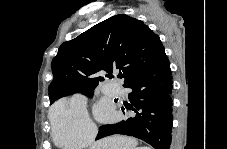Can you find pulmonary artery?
Wrapping results in <instances>:
<instances>
[{
    "label": "pulmonary artery",
    "instance_id": "1",
    "mask_svg": "<svg viewBox=\"0 0 227 149\" xmlns=\"http://www.w3.org/2000/svg\"><path fill=\"white\" fill-rule=\"evenodd\" d=\"M107 89L109 90L110 93H112V94H114V95H116L117 92H118L117 89H116L115 87H108Z\"/></svg>",
    "mask_w": 227,
    "mask_h": 149
}]
</instances>
